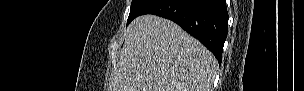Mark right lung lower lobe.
Here are the masks:
<instances>
[{
    "label": "right lung lower lobe",
    "mask_w": 304,
    "mask_h": 91,
    "mask_svg": "<svg viewBox=\"0 0 304 91\" xmlns=\"http://www.w3.org/2000/svg\"><path fill=\"white\" fill-rule=\"evenodd\" d=\"M154 14L177 23L222 61L227 37L226 0H150L140 15Z\"/></svg>",
    "instance_id": "right-lung-lower-lobe-1"
}]
</instances>
